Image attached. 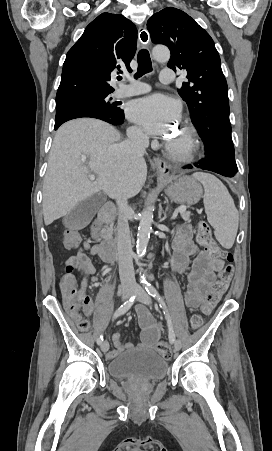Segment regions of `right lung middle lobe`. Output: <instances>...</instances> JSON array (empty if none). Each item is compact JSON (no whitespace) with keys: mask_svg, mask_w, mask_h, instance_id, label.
<instances>
[{"mask_svg":"<svg viewBox=\"0 0 272 451\" xmlns=\"http://www.w3.org/2000/svg\"><path fill=\"white\" fill-rule=\"evenodd\" d=\"M110 101L109 94L56 99V120L79 112H89L112 119H120L124 111L117 107L116 103Z\"/></svg>","mask_w":272,"mask_h":451,"instance_id":"right-lung-middle-lobe-1","label":"right lung middle lobe"}]
</instances>
